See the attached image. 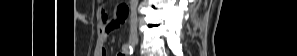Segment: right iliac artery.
Here are the masks:
<instances>
[{
	"label": "right iliac artery",
	"instance_id": "right-iliac-artery-1",
	"mask_svg": "<svg viewBox=\"0 0 297 56\" xmlns=\"http://www.w3.org/2000/svg\"><path fill=\"white\" fill-rule=\"evenodd\" d=\"M122 50H123V52L125 53V54H132L133 53V48H132V46L131 45H129V44H124L123 46H122Z\"/></svg>",
	"mask_w": 297,
	"mask_h": 56
}]
</instances>
